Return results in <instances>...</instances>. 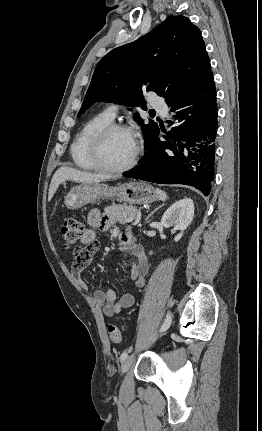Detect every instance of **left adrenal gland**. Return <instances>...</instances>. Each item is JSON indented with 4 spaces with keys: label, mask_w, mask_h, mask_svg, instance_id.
<instances>
[{
    "label": "left adrenal gland",
    "mask_w": 262,
    "mask_h": 431,
    "mask_svg": "<svg viewBox=\"0 0 262 431\" xmlns=\"http://www.w3.org/2000/svg\"><path fill=\"white\" fill-rule=\"evenodd\" d=\"M162 205L158 206L157 208H155L146 218V221L154 214V212H156L159 208H161Z\"/></svg>",
    "instance_id": "a2214340"
}]
</instances>
